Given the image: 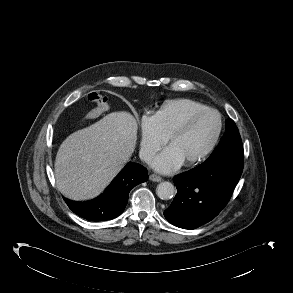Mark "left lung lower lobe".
Listing matches in <instances>:
<instances>
[{
	"mask_svg": "<svg viewBox=\"0 0 293 293\" xmlns=\"http://www.w3.org/2000/svg\"><path fill=\"white\" fill-rule=\"evenodd\" d=\"M243 147L221 150L213 163H202L196 168L173 178L177 194L164 216L173 225L195 229L219 214L228 203L243 170Z\"/></svg>",
	"mask_w": 293,
	"mask_h": 293,
	"instance_id": "1",
	"label": "left lung lower lobe"
}]
</instances>
